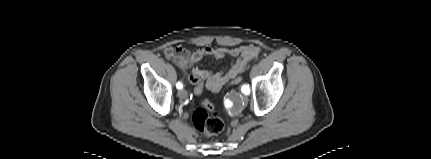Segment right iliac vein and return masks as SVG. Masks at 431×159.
<instances>
[{"instance_id": "1", "label": "right iliac vein", "mask_w": 431, "mask_h": 159, "mask_svg": "<svg viewBox=\"0 0 431 159\" xmlns=\"http://www.w3.org/2000/svg\"><path fill=\"white\" fill-rule=\"evenodd\" d=\"M178 96H179V98H181V99H185V98L187 97V91H186L185 89H181V90L178 92Z\"/></svg>"}]
</instances>
